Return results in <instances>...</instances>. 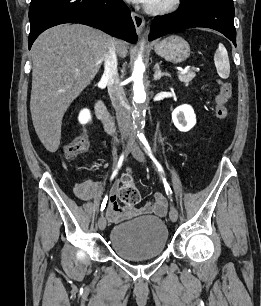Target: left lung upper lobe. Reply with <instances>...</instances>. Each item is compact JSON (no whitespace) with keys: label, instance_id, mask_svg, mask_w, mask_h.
I'll use <instances>...</instances> for the list:
<instances>
[{"label":"left lung upper lobe","instance_id":"obj_1","mask_svg":"<svg viewBox=\"0 0 261 306\" xmlns=\"http://www.w3.org/2000/svg\"><path fill=\"white\" fill-rule=\"evenodd\" d=\"M189 1H192V0H181L182 3L189 2Z\"/></svg>","mask_w":261,"mask_h":306}]
</instances>
